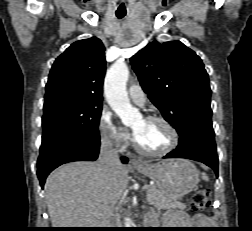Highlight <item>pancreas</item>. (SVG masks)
I'll use <instances>...</instances> for the list:
<instances>
[{
    "mask_svg": "<svg viewBox=\"0 0 252 231\" xmlns=\"http://www.w3.org/2000/svg\"><path fill=\"white\" fill-rule=\"evenodd\" d=\"M147 201L157 208H186V205L182 202L164 201L155 185L149 186V189L147 190ZM116 222L119 223V217L116 218Z\"/></svg>",
    "mask_w": 252,
    "mask_h": 231,
    "instance_id": "obj_1",
    "label": "pancreas"
}]
</instances>
